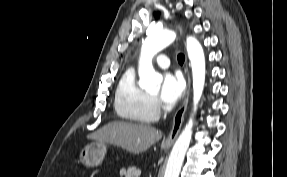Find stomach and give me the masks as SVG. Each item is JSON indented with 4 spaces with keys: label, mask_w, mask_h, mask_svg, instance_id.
<instances>
[{
    "label": "stomach",
    "mask_w": 287,
    "mask_h": 177,
    "mask_svg": "<svg viewBox=\"0 0 287 177\" xmlns=\"http://www.w3.org/2000/svg\"><path fill=\"white\" fill-rule=\"evenodd\" d=\"M163 148H168L164 146ZM107 152L106 144L103 142H93L86 145L80 152V162L86 167L98 166Z\"/></svg>",
    "instance_id": "0dacf381"
}]
</instances>
